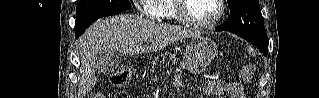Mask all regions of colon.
Returning a JSON list of instances; mask_svg holds the SVG:
<instances>
[{
    "label": "colon",
    "instance_id": "5ec220e1",
    "mask_svg": "<svg viewBox=\"0 0 319 98\" xmlns=\"http://www.w3.org/2000/svg\"><path fill=\"white\" fill-rule=\"evenodd\" d=\"M245 73L242 72V75ZM130 79V71L127 67H122L117 70L111 77V82L115 86L122 87L129 82ZM91 98H105L102 93H95L91 96ZM116 98H129V95L126 92H121L116 95Z\"/></svg>",
    "mask_w": 319,
    "mask_h": 98
}]
</instances>
